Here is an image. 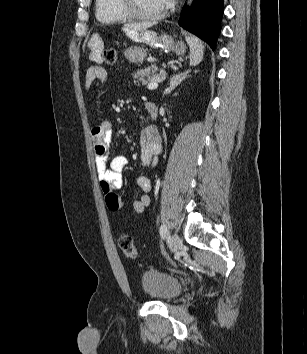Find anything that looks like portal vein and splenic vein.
<instances>
[{"label": "portal vein and splenic vein", "mask_w": 307, "mask_h": 354, "mask_svg": "<svg viewBox=\"0 0 307 354\" xmlns=\"http://www.w3.org/2000/svg\"><path fill=\"white\" fill-rule=\"evenodd\" d=\"M163 79V78H162ZM161 81V78H156L152 82H150L147 86L149 90H154L158 87V83Z\"/></svg>", "instance_id": "portal-vein-and-splenic-vein-1"}]
</instances>
